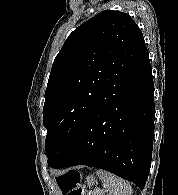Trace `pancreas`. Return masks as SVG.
<instances>
[{
  "instance_id": "obj_1",
  "label": "pancreas",
  "mask_w": 178,
  "mask_h": 195,
  "mask_svg": "<svg viewBox=\"0 0 178 195\" xmlns=\"http://www.w3.org/2000/svg\"><path fill=\"white\" fill-rule=\"evenodd\" d=\"M95 195H102V193H96Z\"/></svg>"
}]
</instances>
